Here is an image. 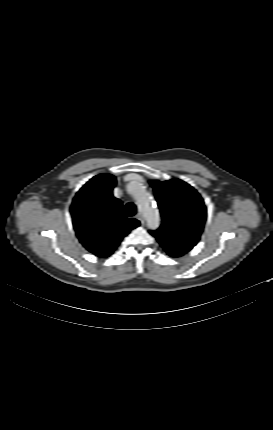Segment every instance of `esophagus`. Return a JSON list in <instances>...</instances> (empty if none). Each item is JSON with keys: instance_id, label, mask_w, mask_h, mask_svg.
<instances>
[{"instance_id": "esophagus-1", "label": "esophagus", "mask_w": 273, "mask_h": 430, "mask_svg": "<svg viewBox=\"0 0 273 430\" xmlns=\"http://www.w3.org/2000/svg\"><path fill=\"white\" fill-rule=\"evenodd\" d=\"M136 217L142 224L145 222L144 216L141 213H138Z\"/></svg>"}]
</instances>
